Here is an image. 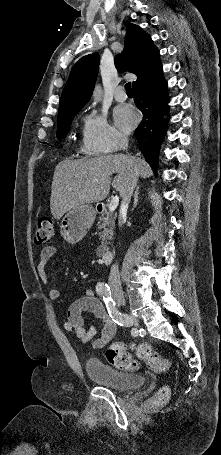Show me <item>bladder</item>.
Here are the masks:
<instances>
[{
	"label": "bladder",
	"mask_w": 221,
	"mask_h": 455,
	"mask_svg": "<svg viewBox=\"0 0 221 455\" xmlns=\"http://www.w3.org/2000/svg\"><path fill=\"white\" fill-rule=\"evenodd\" d=\"M85 370L88 376L98 384L117 391L138 389L144 383L141 375L119 371L97 359H87Z\"/></svg>",
	"instance_id": "1"
}]
</instances>
